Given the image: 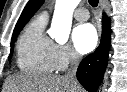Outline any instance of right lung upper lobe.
<instances>
[{
  "label": "right lung upper lobe",
  "instance_id": "cb5924a9",
  "mask_svg": "<svg viewBox=\"0 0 127 92\" xmlns=\"http://www.w3.org/2000/svg\"><path fill=\"white\" fill-rule=\"evenodd\" d=\"M44 0H30L25 6L16 26L14 32L21 30L24 25L28 22V20L32 17V15L38 10V8L42 5Z\"/></svg>",
  "mask_w": 127,
  "mask_h": 92
}]
</instances>
